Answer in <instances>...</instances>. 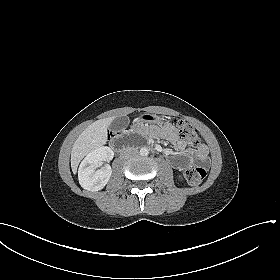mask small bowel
I'll use <instances>...</instances> for the list:
<instances>
[{"mask_svg": "<svg viewBox=\"0 0 280 280\" xmlns=\"http://www.w3.org/2000/svg\"><path fill=\"white\" fill-rule=\"evenodd\" d=\"M164 136L173 143L176 148L183 152L185 151L187 144L184 140L178 137L176 128L171 124H167L163 128ZM194 162L207 165L209 163L208 148L205 144H201L194 152L187 153L184 160L175 162L174 166L178 170H184Z\"/></svg>", "mask_w": 280, "mask_h": 280, "instance_id": "1", "label": "small bowel"}]
</instances>
